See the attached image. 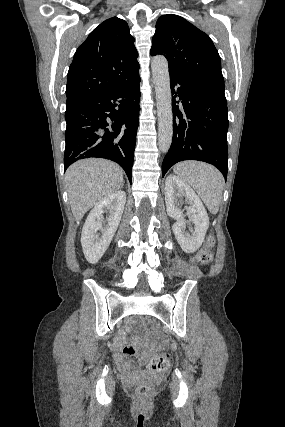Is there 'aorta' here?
Here are the masks:
<instances>
[{
    "mask_svg": "<svg viewBox=\"0 0 285 427\" xmlns=\"http://www.w3.org/2000/svg\"><path fill=\"white\" fill-rule=\"evenodd\" d=\"M158 114V146L162 153L170 149L173 136L172 98L168 61L157 55L151 63Z\"/></svg>",
    "mask_w": 285,
    "mask_h": 427,
    "instance_id": "1",
    "label": "aorta"
}]
</instances>
